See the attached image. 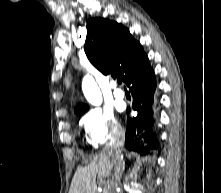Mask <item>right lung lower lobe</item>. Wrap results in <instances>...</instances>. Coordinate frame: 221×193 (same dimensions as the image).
I'll use <instances>...</instances> for the list:
<instances>
[{"label":"right lung lower lobe","mask_w":221,"mask_h":193,"mask_svg":"<svg viewBox=\"0 0 221 193\" xmlns=\"http://www.w3.org/2000/svg\"><path fill=\"white\" fill-rule=\"evenodd\" d=\"M126 85L133 96V109L138 114L128 119L125 145L129 150L146 154L150 149H156L158 146L152 132L154 121L151 110L156 81L148 59L131 74Z\"/></svg>","instance_id":"right-lung-lower-lobe-1"}]
</instances>
